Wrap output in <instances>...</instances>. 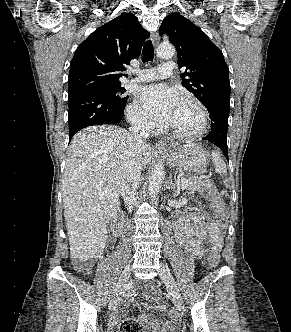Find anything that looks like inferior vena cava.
I'll list each match as a JSON object with an SVG mask.
<instances>
[{
	"label": "inferior vena cava",
	"mask_w": 291,
	"mask_h": 332,
	"mask_svg": "<svg viewBox=\"0 0 291 332\" xmlns=\"http://www.w3.org/2000/svg\"><path fill=\"white\" fill-rule=\"evenodd\" d=\"M149 134L150 124L147 121L137 119L132 123L121 178V195L129 211L137 201L136 190L140 184L142 170V148Z\"/></svg>",
	"instance_id": "1"
}]
</instances>
